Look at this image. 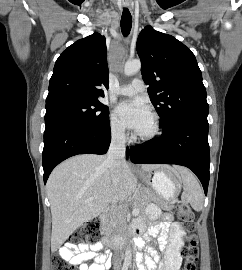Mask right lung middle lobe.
Masks as SVG:
<instances>
[{
  "mask_svg": "<svg viewBox=\"0 0 242 270\" xmlns=\"http://www.w3.org/2000/svg\"><path fill=\"white\" fill-rule=\"evenodd\" d=\"M61 119L102 126L109 120V109L97 99L67 100L46 106L45 124Z\"/></svg>",
  "mask_w": 242,
  "mask_h": 270,
  "instance_id": "obj_1",
  "label": "right lung middle lobe"
}]
</instances>
